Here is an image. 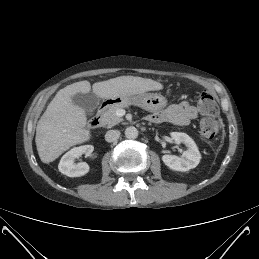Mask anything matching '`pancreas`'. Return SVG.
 <instances>
[{"instance_id": "cf45deb5", "label": "pancreas", "mask_w": 259, "mask_h": 259, "mask_svg": "<svg viewBox=\"0 0 259 259\" xmlns=\"http://www.w3.org/2000/svg\"><path fill=\"white\" fill-rule=\"evenodd\" d=\"M126 106L116 105L111 106L107 110L101 112L100 114V121L103 126H107L108 128H111L115 126L116 124L123 121V118L116 115V111L121 108H126Z\"/></svg>"}]
</instances>
